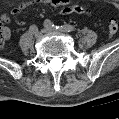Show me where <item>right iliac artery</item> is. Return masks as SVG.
I'll use <instances>...</instances> for the list:
<instances>
[{"mask_svg": "<svg viewBox=\"0 0 119 119\" xmlns=\"http://www.w3.org/2000/svg\"><path fill=\"white\" fill-rule=\"evenodd\" d=\"M29 31L34 34L35 32L38 31V28L36 25H31L30 28H29Z\"/></svg>", "mask_w": 119, "mask_h": 119, "instance_id": "right-iliac-artery-1", "label": "right iliac artery"}]
</instances>
